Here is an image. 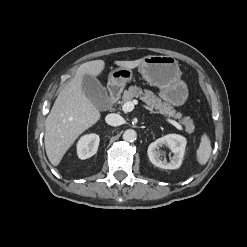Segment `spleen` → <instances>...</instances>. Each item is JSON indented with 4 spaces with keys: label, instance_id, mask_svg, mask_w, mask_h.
<instances>
[{
    "label": "spleen",
    "instance_id": "1",
    "mask_svg": "<svg viewBox=\"0 0 247 247\" xmlns=\"http://www.w3.org/2000/svg\"><path fill=\"white\" fill-rule=\"evenodd\" d=\"M211 141L207 134L201 136V142L196 152L197 161L200 165H205L211 155Z\"/></svg>",
    "mask_w": 247,
    "mask_h": 247
}]
</instances>
